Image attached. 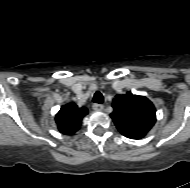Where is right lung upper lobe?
Wrapping results in <instances>:
<instances>
[{
	"mask_svg": "<svg viewBox=\"0 0 190 188\" xmlns=\"http://www.w3.org/2000/svg\"><path fill=\"white\" fill-rule=\"evenodd\" d=\"M87 114V108L78 107L74 102L63 105L55 117L58 130L65 135H73Z\"/></svg>",
	"mask_w": 190,
	"mask_h": 188,
	"instance_id": "1",
	"label": "right lung upper lobe"
}]
</instances>
